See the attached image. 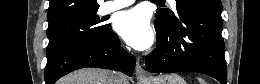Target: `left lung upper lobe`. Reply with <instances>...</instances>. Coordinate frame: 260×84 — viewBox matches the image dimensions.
<instances>
[{"instance_id": "obj_1", "label": "left lung upper lobe", "mask_w": 260, "mask_h": 84, "mask_svg": "<svg viewBox=\"0 0 260 84\" xmlns=\"http://www.w3.org/2000/svg\"><path fill=\"white\" fill-rule=\"evenodd\" d=\"M177 1V12L179 14V8L181 5H194V6H201L216 10L222 9V4L220 0H176ZM157 17L164 18L169 21L175 20L177 17L174 15L172 11L169 9H158L156 11Z\"/></svg>"}]
</instances>
